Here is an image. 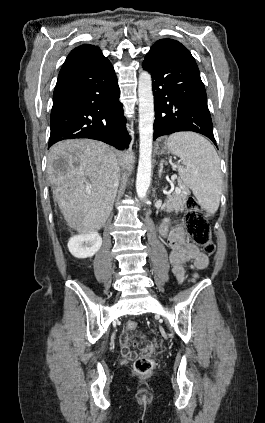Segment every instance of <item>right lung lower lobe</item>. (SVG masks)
<instances>
[{
  "mask_svg": "<svg viewBox=\"0 0 265 423\" xmlns=\"http://www.w3.org/2000/svg\"><path fill=\"white\" fill-rule=\"evenodd\" d=\"M119 86L107 58L65 61L53 94L48 148L73 138L103 141L117 149L129 145Z\"/></svg>",
  "mask_w": 265,
  "mask_h": 423,
  "instance_id": "98d812e1",
  "label": "right lung lower lobe"
}]
</instances>
